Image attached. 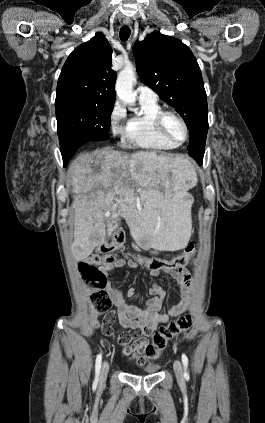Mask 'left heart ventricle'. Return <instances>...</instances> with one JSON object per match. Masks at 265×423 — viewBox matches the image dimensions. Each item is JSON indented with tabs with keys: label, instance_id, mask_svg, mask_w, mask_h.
<instances>
[{
	"label": "left heart ventricle",
	"instance_id": "left-heart-ventricle-1",
	"mask_svg": "<svg viewBox=\"0 0 265 423\" xmlns=\"http://www.w3.org/2000/svg\"><path fill=\"white\" fill-rule=\"evenodd\" d=\"M166 129L174 139L182 140L184 138V128L176 118L170 116L166 119Z\"/></svg>",
	"mask_w": 265,
	"mask_h": 423
}]
</instances>
